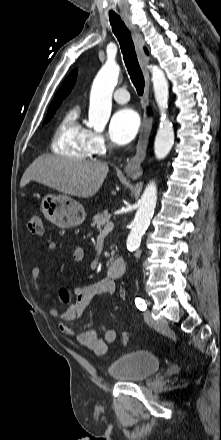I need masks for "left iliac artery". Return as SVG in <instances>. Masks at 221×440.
Returning a JSON list of instances; mask_svg holds the SVG:
<instances>
[{
	"instance_id": "obj_1",
	"label": "left iliac artery",
	"mask_w": 221,
	"mask_h": 440,
	"mask_svg": "<svg viewBox=\"0 0 221 440\" xmlns=\"http://www.w3.org/2000/svg\"><path fill=\"white\" fill-rule=\"evenodd\" d=\"M135 304L137 306V308L141 311H145L147 308V305L145 303V301L142 298H136L135 299Z\"/></svg>"
}]
</instances>
